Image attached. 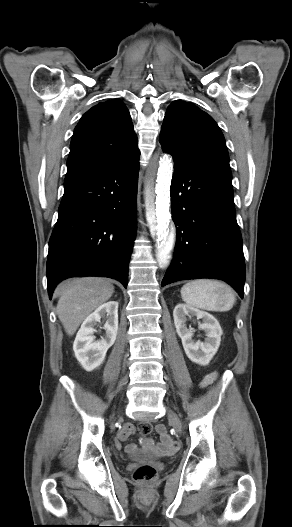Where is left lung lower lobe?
Returning a JSON list of instances; mask_svg holds the SVG:
<instances>
[{
    "label": "left lung lower lobe",
    "instance_id": "obj_1",
    "mask_svg": "<svg viewBox=\"0 0 292 527\" xmlns=\"http://www.w3.org/2000/svg\"><path fill=\"white\" fill-rule=\"evenodd\" d=\"M174 162L170 194L176 246L161 286L180 280L222 279L242 298L245 263L232 175Z\"/></svg>",
    "mask_w": 292,
    "mask_h": 527
}]
</instances>
